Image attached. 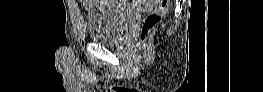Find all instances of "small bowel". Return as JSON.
<instances>
[{
    "label": "small bowel",
    "instance_id": "obj_1",
    "mask_svg": "<svg viewBox=\"0 0 263 92\" xmlns=\"http://www.w3.org/2000/svg\"><path fill=\"white\" fill-rule=\"evenodd\" d=\"M94 1H87L86 3H87V7H90V5L93 3ZM147 4H150V5H153V4H155V2L154 1H145Z\"/></svg>",
    "mask_w": 263,
    "mask_h": 92
}]
</instances>
